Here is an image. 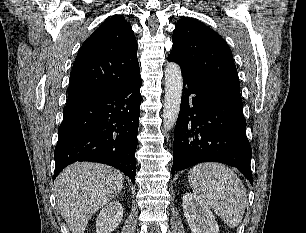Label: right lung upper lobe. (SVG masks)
I'll list each match as a JSON object with an SVG mask.
<instances>
[{
    "instance_id": "right-lung-upper-lobe-1",
    "label": "right lung upper lobe",
    "mask_w": 306,
    "mask_h": 233,
    "mask_svg": "<svg viewBox=\"0 0 306 233\" xmlns=\"http://www.w3.org/2000/svg\"><path fill=\"white\" fill-rule=\"evenodd\" d=\"M137 41L122 15L107 18L82 44L75 59L66 106L106 95L137 72Z\"/></svg>"
}]
</instances>
